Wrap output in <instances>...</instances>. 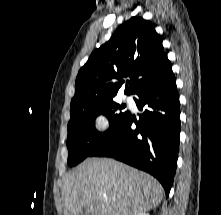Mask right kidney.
<instances>
[{"label":"right kidney","instance_id":"ca27d5eb","mask_svg":"<svg viewBox=\"0 0 221 215\" xmlns=\"http://www.w3.org/2000/svg\"><path fill=\"white\" fill-rule=\"evenodd\" d=\"M136 215H149L148 213H145V212H141V213H138Z\"/></svg>","mask_w":221,"mask_h":215}]
</instances>
